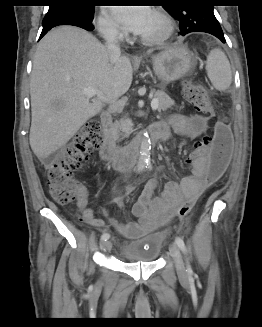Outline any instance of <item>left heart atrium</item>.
I'll return each mask as SVG.
<instances>
[{"label":"left heart atrium","mask_w":262,"mask_h":327,"mask_svg":"<svg viewBox=\"0 0 262 327\" xmlns=\"http://www.w3.org/2000/svg\"><path fill=\"white\" fill-rule=\"evenodd\" d=\"M152 11L141 5H125L112 8L113 18L127 31L140 33L146 26Z\"/></svg>","instance_id":"1"}]
</instances>
